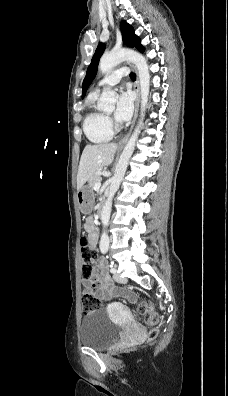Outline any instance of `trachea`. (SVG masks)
I'll return each instance as SVG.
<instances>
[{
	"mask_svg": "<svg viewBox=\"0 0 228 396\" xmlns=\"http://www.w3.org/2000/svg\"><path fill=\"white\" fill-rule=\"evenodd\" d=\"M130 78H131L132 80H135V79H136V74L133 73V72H131V73H130Z\"/></svg>",
	"mask_w": 228,
	"mask_h": 396,
	"instance_id": "3493384b",
	"label": "trachea"
}]
</instances>
